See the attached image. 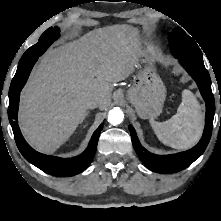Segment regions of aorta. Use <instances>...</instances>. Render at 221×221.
Returning <instances> with one entry per match:
<instances>
[{
	"label": "aorta",
	"mask_w": 221,
	"mask_h": 221,
	"mask_svg": "<svg viewBox=\"0 0 221 221\" xmlns=\"http://www.w3.org/2000/svg\"><path fill=\"white\" fill-rule=\"evenodd\" d=\"M124 113L120 108H113L108 113V122L112 125H118L123 122Z\"/></svg>",
	"instance_id": "aorta-1"
}]
</instances>
